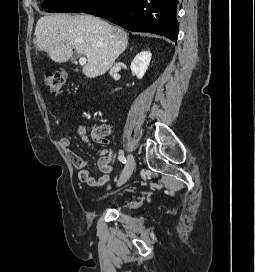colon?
Returning a JSON list of instances; mask_svg holds the SVG:
<instances>
[{"instance_id": "1", "label": "colon", "mask_w": 255, "mask_h": 272, "mask_svg": "<svg viewBox=\"0 0 255 272\" xmlns=\"http://www.w3.org/2000/svg\"><path fill=\"white\" fill-rule=\"evenodd\" d=\"M66 76L64 71H47L44 75V83L53 95H58L65 83ZM107 134L108 128L105 126H98L93 131L95 139L103 142L106 141L105 137Z\"/></svg>"}]
</instances>
